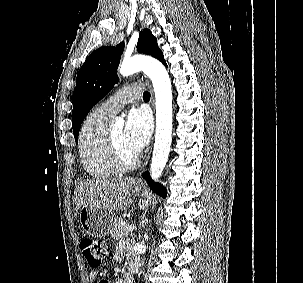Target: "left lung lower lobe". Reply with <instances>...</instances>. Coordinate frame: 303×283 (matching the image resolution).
<instances>
[{
  "label": "left lung lower lobe",
  "mask_w": 303,
  "mask_h": 283,
  "mask_svg": "<svg viewBox=\"0 0 303 283\" xmlns=\"http://www.w3.org/2000/svg\"><path fill=\"white\" fill-rule=\"evenodd\" d=\"M165 65H166V64H165ZM145 178L147 179V182H148L149 187H150L156 194L162 196L163 198L166 197V189L163 188V186H161L160 184L154 183V182L151 180V178H150V176H149L148 173L145 174Z\"/></svg>",
  "instance_id": "left-lung-lower-lobe-1"
}]
</instances>
